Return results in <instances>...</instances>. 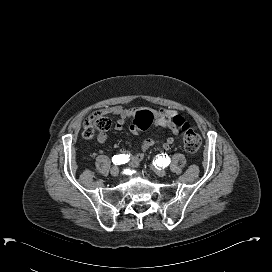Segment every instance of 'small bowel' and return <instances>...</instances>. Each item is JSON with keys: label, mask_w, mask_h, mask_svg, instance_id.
<instances>
[{"label": "small bowel", "mask_w": 272, "mask_h": 272, "mask_svg": "<svg viewBox=\"0 0 272 272\" xmlns=\"http://www.w3.org/2000/svg\"><path fill=\"white\" fill-rule=\"evenodd\" d=\"M103 113L105 115H112L117 118L115 123V130L116 131H123L126 128V125L128 121L132 118V116L135 114V109L133 108H126L120 105L117 106H111L103 110ZM150 113L154 117L153 124L159 127L166 128L175 136H178L179 130L176 127V125L173 123L172 119L177 115V111L166 109V108H159V109H151ZM149 126V124L145 125V127L140 126H130V130L133 132H138L140 130H144ZM107 140V134L105 132L99 133L97 136V141L99 143H103ZM174 138L173 137H167L162 142V147L164 150H169L170 146L173 144ZM155 144H157V141L152 138H147L141 142V144L138 147V150L136 151V154L131 162V167H137L143 157V154L146 150L153 147ZM122 153H126V149H121Z\"/></svg>", "instance_id": "c3829d8e"}]
</instances>
